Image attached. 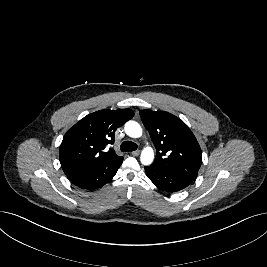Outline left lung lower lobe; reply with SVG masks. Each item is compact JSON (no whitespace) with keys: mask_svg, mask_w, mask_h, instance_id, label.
<instances>
[{"mask_svg":"<svg viewBox=\"0 0 267 267\" xmlns=\"http://www.w3.org/2000/svg\"><path fill=\"white\" fill-rule=\"evenodd\" d=\"M147 177L162 191L177 192L189 186L194 179L163 170L155 165L145 167Z\"/></svg>","mask_w":267,"mask_h":267,"instance_id":"obj_1","label":"left lung lower lobe"}]
</instances>
